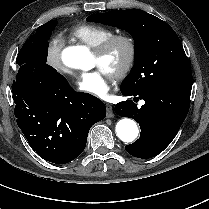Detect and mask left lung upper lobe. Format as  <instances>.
<instances>
[{"instance_id":"left-lung-upper-lobe-1","label":"left lung upper lobe","mask_w":209,"mask_h":209,"mask_svg":"<svg viewBox=\"0 0 209 209\" xmlns=\"http://www.w3.org/2000/svg\"><path fill=\"white\" fill-rule=\"evenodd\" d=\"M87 21L116 26L134 39L135 60L121 89L133 92L166 83L192 82L188 58L175 31L161 19L139 9L90 15Z\"/></svg>"}]
</instances>
